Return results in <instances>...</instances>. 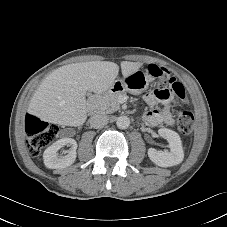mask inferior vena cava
Returning <instances> with one entry per match:
<instances>
[{
	"instance_id": "inferior-vena-cava-1",
	"label": "inferior vena cava",
	"mask_w": 227,
	"mask_h": 227,
	"mask_svg": "<svg viewBox=\"0 0 227 227\" xmlns=\"http://www.w3.org/2000/svg\"><path fill=\"white\" fill-rule=\"evenodd\" d=\"M108 116L103 114V113H98L93 115L90 118V124L93 128L95 129H99V128H103L105 125H107L108 123Z\"/></svg>"
}]
</instances>
